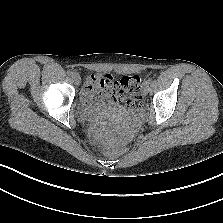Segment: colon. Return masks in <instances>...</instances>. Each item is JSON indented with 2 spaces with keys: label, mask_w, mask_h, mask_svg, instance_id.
I'll return each mask as SVG.
<instances>
[{
  "label": "colon",
  "mask_w": 223,
  "mask_h": 223,
  "mask_svg": "<svg viewBox=\"0 0 223 223\" xmlns=\"http://www.w3.org/2000/svg\"><path fill=\"white\" fill-rule=\"evenodd\" d=\"M140 82L141 79L138 75L125 76L114 82L117 92L121 95V101L131 111H137L141 107ZM96 85L97 83H95ZM106 153L112 154L113 150H106Z\"/></svg>",
  "instance_id": "obj_1"
}]
</instances>
